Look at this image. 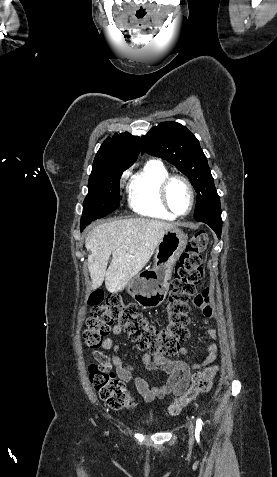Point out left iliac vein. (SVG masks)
<instances>
[{
  "mask_svg": "<svg viewBox=\"0 0 277 477\" xmlns=\"http://www.w3.org/2000/svg\"><path fill=\"white\" fill-rule=\"evenodd\" d=\"M189 435H190V439L193 440V436H194V426H193V423L190 422V425H189Z\"/></svg>",
  "mask_w": 277,
  "mask_h": 477,
  "instance_id": "obj_1",
  "label": "left iliac vein"
}]
</instances>
